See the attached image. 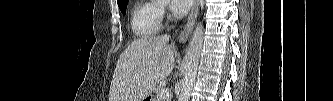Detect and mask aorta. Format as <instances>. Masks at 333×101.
Here are the masks:
<instances>
[{"label": "aorta", "instance_id": "762f6f07", "mask_svg": "<svg viewBox=\"0 0 333 101\" xmlns=\"http://www.w3.org/2000/svg\"><path fill=\"white\" fill-rule=\"evenodd\" d=\"M203 35V25L200 23L193 32L185 55L184 75L178 101H189L190 99L197 75V68L203 44Z\"/></svg>", "mask_w": 333, "mask_h": 101}]
</instances>
